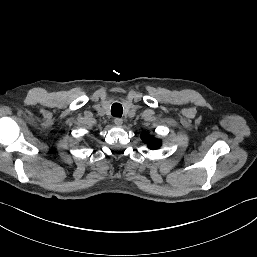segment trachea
Segmentation results:
<instances>
[{
    "mask_svg": "<svg viewBox=\"0 0 257 257\" xmlns=\"http://www.w3.org/2000/svg\"><path fill=\"white\" fill-rule=\"evenodd\" d=\"M123 113L122 105L119 103H114L111 107V114L116 117H121Z\"/></svg>",
    "mask_w": 257,
    "mask_h": 257,
    "instance_id": "obj_1",
    "label": "trachea"
}]
</instances>
